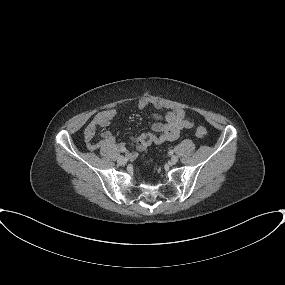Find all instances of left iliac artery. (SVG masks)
<instances>
[{"label":"left iliac artery","instance_id":"obj_1","mask_svg":"<svg viewBox=\"0 0 285 285\" xmlns=\"http://www.w3.org/2000/svg\"><path fill=\"white\" fill-rule=\"evenodd\" d=\"M169 153H170V154H173V150H170Z\"/></svg>","mask_w":285,"mask_h":285}]
</instances>
